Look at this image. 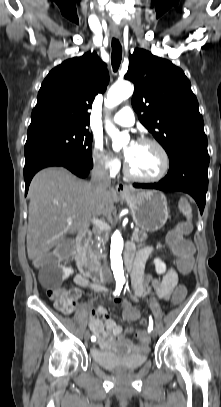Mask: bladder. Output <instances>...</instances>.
I'll use <instances>...</instances> for the list:
<instances>
[{"label": "bladder", "mask_w": 221, "mask_h": 407, "mask_svg": "<svg viewBox=\"0 0 221 407\" xmlns=\"http://www.w3.org/2000/svg\"><path fill=\"white\" fill-rule=\"evenodd\" d=\"M90 356L95 364L111 371L134 370L144 365L148 359L146 349L127 354L123 350L92 348Z\"/></svg>", "instance_id": "bladder-1"}]
</instances>
